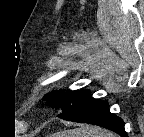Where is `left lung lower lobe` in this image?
I'll list each match as a JSON object with an SVG mask.
<instances>
[{"instance_id":"obj_1","label":"left lung lower lobe","mask_w":144,"mask_h":137,"mask_svg":"<svg viewBox=\"0 0 144 137\" xmlns=\"http://www.w3.org/2000/svg\"><path fill=\"white\" fill-rule=\"evenodd\" d=\"M64 120L98 125L127 137L124 122L121 118L109 112L108 103L93 98L88 91H84L71 105L58 115Z\"/></svg>"}]
</instances>
